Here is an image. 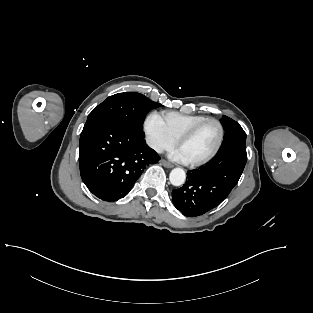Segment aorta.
Masks as SVG:
<instances>
[{
    "label": "aorta",
    "mask_w": 313,
    "mask_h": 313,
    "mask_svg": "<svg viewBox=\"0 0 313 313\" xmlns=\"http://www.w3.org/2000/svg\"><path fill=\"white\" fill-rule=\"evenodd\" d=\"M186 179V173L182 168H174L169 175L170 183L173 186H181Z\"/></svg>",
    "instance_id": "762f6f07"
}]
</instances>
